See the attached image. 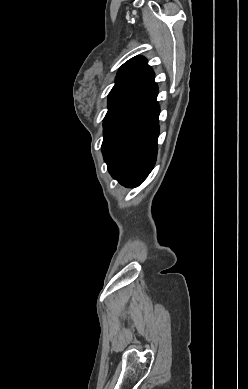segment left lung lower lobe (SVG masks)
<instances>
[{
  "label": "left lung lower lobe",
  "instance_id": "obj_1",
  "mask_svg": "<svg viewBox=\"0 0 248 389\" xmlns=\"http://www.w3.org/2000/svg\"><path fill=\"white\" fill-rule=\"evenodd\" d=\"M154 76L149 68L108 102L102 153L112 177L126 187L140 185L156 161L160 108Z\"/></svg>",
  "mask_w": 248,
  "mask_h": 389
}]
</instances>
